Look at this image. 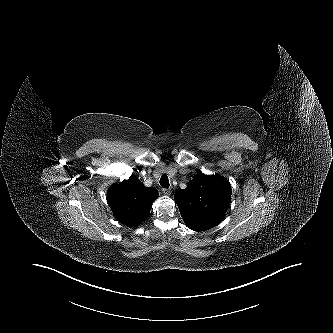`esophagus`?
I'll return each mask as SVG.
<instances>
[{
	"mask_svg": "<svg viewBox=\"0 0 333 333\" xmlns=\"http://www.w3.org/2000/svg\"><path fill=\"white\" fill-rule=\"evenodd\" d=\"M162 192H163V194H165L167 196L171 195V193H172L171 189H168V188H163Z\"/></svg>",
	"mask_w": 333,
	"mask_h": 333,
	"instance_id": "obj_1",
	"label": "esophagus"
}]
</instances>
